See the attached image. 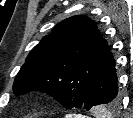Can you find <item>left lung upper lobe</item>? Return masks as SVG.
Returning a JSON list of instances; mask_svg holds the SVG:
<instances>
[{
    "mask_svg": "<svg viewBox=\"0 0 133 118\" xmlns=\"http://www.w3.org/2000/svg\"><path fill=\"white\" fill-rule=\"evenodd\" d=\"M110 50L94 21L74 16L43 37L18 72L13 92L43 91L65 108L84 107L86 96L107 62ZM118 101L107 105L116 111Z\"/></svg>",
    "mask_w": 133,
    "mask_h": 118,
    "instance_id": "5c2ea615",
    "label": "left lung upper lobe"
}]
</instances>
